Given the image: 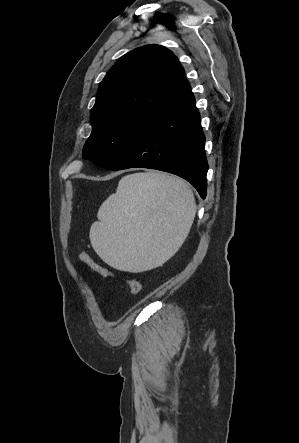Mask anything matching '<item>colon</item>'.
<instances>
[{"mask_svg":"<svg viewBox=\"0 0 299 443\" xmlns=\"http://www.w3.org/2000/svg\"><path fill=\"white\" fill-rule=\"evenodd\" d=\"M78 257L83 263H85L94 271L106 277H112V278L116 277V274L112 270L98 263L94 258H92L86 252H79ZM125 281L127 282L132 295L136 296L140 293L142 285L139 280H137L136 278H126Z\"/></svg>","mask_w":299,"mask_h":443,"instance_id":"obj_1","label":"colon"}]
</instances>
